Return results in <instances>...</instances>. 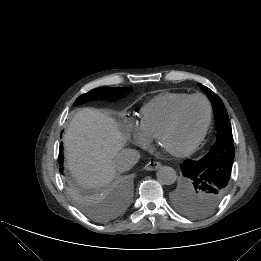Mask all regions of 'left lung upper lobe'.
Returning <instances> with one entry per match:
<instances>
[{
  "label": "left lung upper lobe",
  "instance_id": "5c2ea615",
  "mask_svg": "<svg viewBox=\"0 0 261 261\" xmlns=\"http://www.w3.org/2000/svg\"><path fill=\"white\" fill-rule=\"evenodd\" d=\"M212 102L217 140L208 154L194 161L202 173L196 178H185L173 195L177 208L190 216H205L217 208L229 185L234 160L231 125L222 100L209 88L199 84Z\"/></svg>",
  "mask_w": 261,
  "mask_h": 261
}]
</instances>
